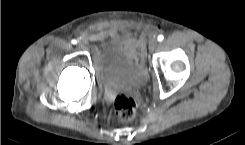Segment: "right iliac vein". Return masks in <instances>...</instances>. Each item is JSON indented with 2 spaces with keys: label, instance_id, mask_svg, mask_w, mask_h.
<instances>
[{
  "label": "right iliac vein",
  "instance_id": "63e3f726",
  "mask_svg": "<svg viewBox=\"0 0 245 145\" xmlns=\"http://www.w3.org/2000/svg\"><path fill=\"white\" fill-rule=\"evenodd\" d=\"M76 46H77V48L78 49H84V44L82 43V42H78L77 44H76Z\"/></svg>",
  "mask_w": 245,
  "mask_h": 145
}]
</instances>
